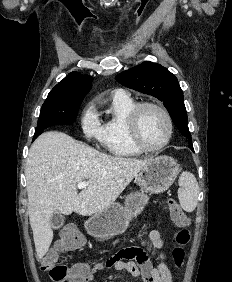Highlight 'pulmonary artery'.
Instances as JSON below:
<instances>
[{"label": "pulmonary artery", "mask_w": 232, "mask_h": 282, "mask_svg": "<svg viewBox=\"0 0 232 282\" xmlns=\"http://www.w3.org/2000/svg\"><path fill=\"white\" fill-rule=\"evenodd\" d=\"M114 93H115V94H119V95L127 94L123 89H117V90H115Z\"/></svg>", "instance_id": "e3ab8cb5"}]
</instances>
